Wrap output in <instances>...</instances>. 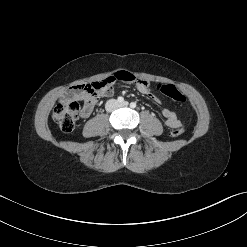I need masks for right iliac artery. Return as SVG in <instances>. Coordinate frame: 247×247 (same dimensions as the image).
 I'll return each instance as SVG.
<instances>
[{
  "instance_id": "1",
  "label": "right iliac artery",
  "mask_w": 247,
  "mask_h": 247,
  "mask_svg": "<svg viewBox=\"0 0 247 247\" xmlns=\"http://www.w3.org/2000/svg\"><path fill=\"white\" fill-rule=\"evenodd\" d=\"M117 101H118L119 103H123V102H124V98L120 96V97L117 98Z\"/></svg>"
}]
</instances>
